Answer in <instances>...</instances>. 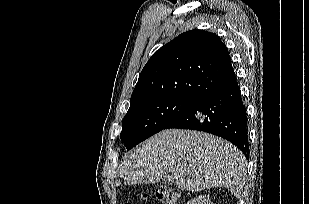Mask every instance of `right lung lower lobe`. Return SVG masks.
<instances>
[{"mask_svg": "<svg viewBox=\"0 0 309 204\" xmlns=\"http://www.w3.org/2000/svg\"><path fill=\"white\" fill-rule=\"evenodd\" d=\"M180 128L208 132L237 146L249 157L248 118L237 81L200 98L165 129Z\"/></svg>", "mask_w": 309, "mask_h": 204, "instance_id": "1", "label": "right lung lower lobe"}]
</instances>
